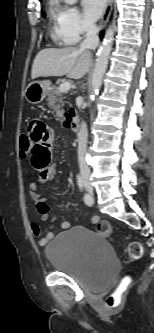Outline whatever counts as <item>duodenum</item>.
Wrapping results in <instances>:
<instances>
[{"instance_id": "duodenum-1", "label": "duodenum", "mask_w": 154, "mask_h": 333, "mask_svg": "<svg viewBox=\"0 0 154 333\" xmlns=\"http://www.w3.org/2000/svg\"><path fill=\"white\" fill-rule=\"evenodd\" d=\"M70 129L73 133H78L80 129V120L78 115L74 114L69 118Z\"/></svg>"}]
</instances>
